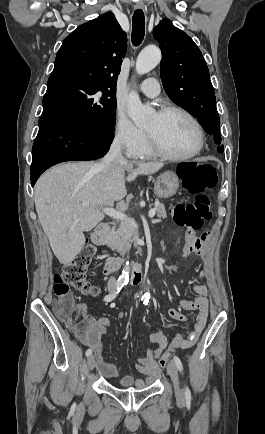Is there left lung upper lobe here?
Here are the masks:
<instances>
[{
	"label": "left lung upper lobe",
	"instance_id": "5c2ea615",
	"mask_svg": "<svg viewBox=\"0 0 265 434\" xmlns=\"http://www.w3.org/2000/svg\"><path fill=\"white\" fill-rule=\"evenodd\" d=\"M153 36L162 51L160 75L169 98L196 117L204 130L213 135L217 149H222L215 94L201 51L166 18L154 28Z\"/></svg>",
	"mask_w": 265,
	"mask_h": 434
}]
</instances>
